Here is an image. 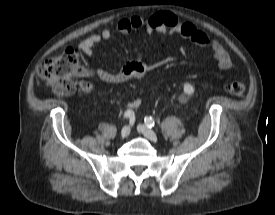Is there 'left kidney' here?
Segmentation results:
<instances>
[{"label":"left kidney","mask_w":275,"mask_h":215,"mask_svg":"<svg viewBox=\"0 0 275 215\" xmlns=\"http://www.w3.org/2000/svg\"><path fill=\"white\" fill-rule=\"evenodd\" d=\"M194 91H195V89H194L193 85H191L190 83L184 84V92L186 94L192 95L194 93Z\"/></svg>","instance_id":"left-kidney-1"}]
</instances>
